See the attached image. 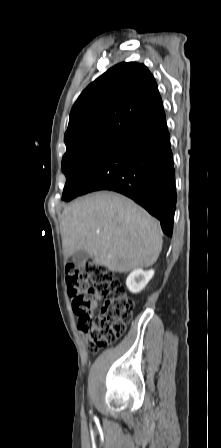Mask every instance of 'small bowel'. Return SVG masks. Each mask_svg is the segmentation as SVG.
Listing matches in <instances>:
<instances>
[{"label":"small bowel","instance_id":"small-bowel-1","mask_svg":"<svg viewBox=\"0 0 221 448\" xmlns=\"http://www.w3.org/2000/svg\"><path fill=\"white\" fill-rule=\"evenodd\" d=\"M97 308V303L95 302L93 307H92V311L94 312V310Z\"/></svg>","mask_w":221,"mask_h":448}]
</instances>
